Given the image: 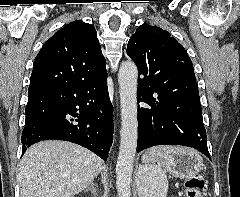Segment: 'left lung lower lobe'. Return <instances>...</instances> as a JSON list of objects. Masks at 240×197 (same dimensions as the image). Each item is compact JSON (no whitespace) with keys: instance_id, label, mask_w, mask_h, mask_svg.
Here are the masks:
<instances>
[{"instance_id":"1","label":"left lung lower lobe","mask_w":240,"mask_h":197,"mask_svg":"<svg viewBox=\"0 0 240 197\" xmlns=\"http://www.w3.org/2000/svg\"><path fill=\"white\" fill-rule=\"evenodd\" d=\"M137 152L155 145H183L197 149L210 160L202 120L198 86L155 88L148 74L139 72Z\"/></svg>"}]
</instances>
